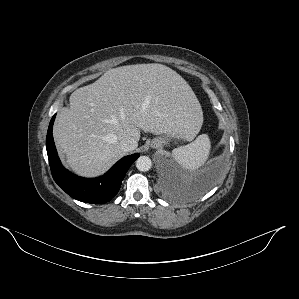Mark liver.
<instances>
[{
    "label": "liver",
    "mask_w": 299,
    "mask_h": 299,
    "mask_svg": "<svg viewBox=\"0 0 299 299\" xmlns=\"http://www.w3.org/2000/svg\"><path fill=\"white\" fill-rule=\"evenodd\" d=\"M70 107L59 110L54 141L75 173L94 177L106 172L126 152L120 141L137 142L140 131L181 133L190 141L200 131L203 113L189 84L162 64L110 69L94 83L78 88Z\"/></svg>",
    "instance_id": "6515ba94"
}]
</instances>
